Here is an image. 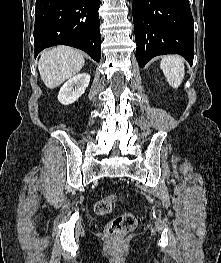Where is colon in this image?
Instances as JSON below:
<instances>
[{"label":"colon","mask_w":221,"mask_h":263,"mask_svg":"<svg viewBox=\"0 0 221 263\" xmlns=\"http://www.w3.org/2000/svg\"><path fill=\"white\" fill-rule=\"evenodd\" d=\"M119 194H113L98 200L95 204V211L99 215H105L112 211L113 205L119 198ZM137 225L134 214L123 213L111 219L106 225V233L113 239H118L133 231Z\"/></svg>","instance_id":"5ec220e1"}]
</instances>
